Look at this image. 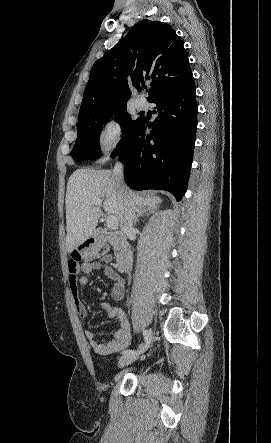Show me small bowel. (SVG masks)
<instances>
[{"instance_id":"1","label":"small bowel","mask_w":271,"mask_h":443,"mask_svg":"<svg viewBox=\"0 0 271 443\" xmlns=\"http://www.w3.org/2000/svg\"><path fill=\"white\" fill-rule=\"evenodd\" d=\"M68 270L70 290L74 298L75 308L82 320L86 318L87 310L80 298L79 285H86L88 283L86 274L93 270H101L112 281L111 297L116 301H120L125 295L124 280L111 267L104 263L75 264L70 260ZM101 308L110 319H116L118 321V326L114 333V340L101 342L91 331H86L85 334L89 345L96 353L100 355H110L130 345L132 339L130 324L121 309L107 302L102 303Z\"/></svg>"}]
</instances>
